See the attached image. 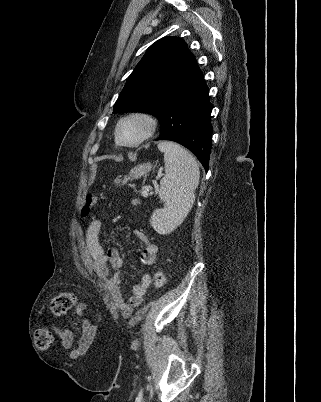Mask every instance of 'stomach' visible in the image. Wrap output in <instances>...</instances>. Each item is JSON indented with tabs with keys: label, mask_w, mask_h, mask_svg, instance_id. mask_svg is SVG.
Listing matches in <instances>:
<instances>
[{
	"label": "stomach",
	"mask_w": 321,
	"mask_h": 402,
	"mask_svg": "<svg viewBox=\"0 0 321 402\" xmlns=\"http://www.w3.org/2000/svg\"><path fill=\"white\" fill-rule=\"evenodd\" d=\"M151 168L152 165L150 163L139 164L131 169L128 176H125L123 180H118L116 184H120V182L122 184H125L128 180L141 178L142 176L146 175L151 170Z\"/></svg>",
	"instance_id": "0dacf381"
}]
</instances>
